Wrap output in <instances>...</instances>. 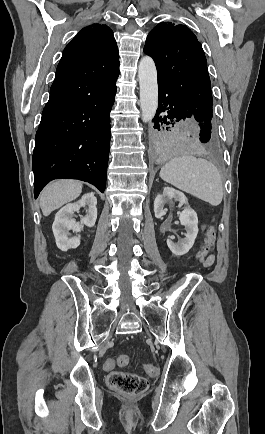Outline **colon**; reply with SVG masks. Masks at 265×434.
<instances>
[{
    "mask_svg": "<svg viewBox=\"0 0 265 434\" xmlns=\"http://www.w3.org/2000/svg\"><path fill=\"white\" fill-rule=\"evenodd\" d=\"M216 236L215 230L209 231L200 247V250L196 254V259L203 263L206 261L207 255H210V251ZM128 362V359L124 355H118L114 358L107 359L103 362L102 366L105 370H112L116 365L124 366ZM143 370L149 377H157L159 375V368L151 364H144ZM108 385L117 392L128 394H142L148 390L149 384L146 378L130 372L114 371L107 377Z\"/></svg>",
    "mask_w": 265,
    "mask_h": 434,
    "instance_id": "colon-1",
    "label": "colon"
}]
</instances>
